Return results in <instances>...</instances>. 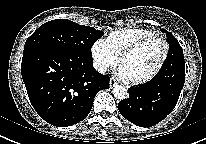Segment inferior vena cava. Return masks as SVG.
I'll return each mask as SVG.
<instances>
[{
  "label": "inferior vena cava",
  "mask_w": 206,
  "mask_h": 144,
  "mask_svg": "<svg viewBox=\"0 0 206 144\" xmlns=\"http://www.w3.org/2000/svg\"><path fill=\"white\" fill-rule=\"evenodd\" d=\"M94 68L99 72V73H105L107 71V67L98 63L94 64Z\"/></svg>",
  "instance_id": "obj_1"
}]
</instances>
